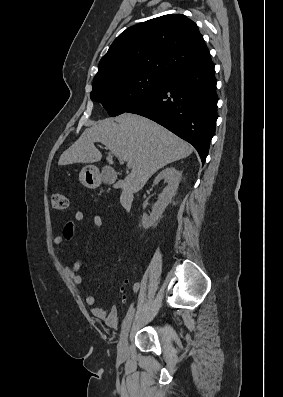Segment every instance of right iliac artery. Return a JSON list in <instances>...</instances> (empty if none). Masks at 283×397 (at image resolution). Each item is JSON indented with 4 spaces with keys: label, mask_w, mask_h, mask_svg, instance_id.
Returning <instances> with one entry per match:
<instances>
[{
    "label": "right iliac artery",
    "mask_w": 283,
    "mask_h": 397,
    "mask_svg": "<svg viewBox=\"0 0 283 397\" xmlns=\"http://www.w3.org/2000/svg\"><path fill=\"white\" fill-rule=\"evenodd\" d=\"M138 288H139V285H138V284H135V285H134V292H135V293H138V292H139V289H138ZM133 311H134L133 305H131V306L129 307V309H128V312H127V314H126L124 320H123L122 328L124 327L126 321L128 320V318L130 317V315L132 314Z\"/></svg>",
    "instance_id": "1"
}]
</instances>
